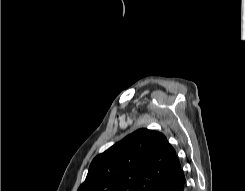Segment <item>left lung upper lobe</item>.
Masks as SVG:
<instances>
[{
  "instance_id": "left-lung-upper-lobe-1",
  "label": "left lung upper lobe",
  "mask_w": 245,
  "mask_h": 191,
  "mask_svg": "<svg viewBox=\"0 0 245 191\" xmlns=\"http://www.w3.org/2000/svg\"><path fill=\"white\" fill-rule=\"evenodd\" d=\"M178 162L162 133L141 128L96 156L78 191H156Z\"/></svg>"
}]
</instances>
